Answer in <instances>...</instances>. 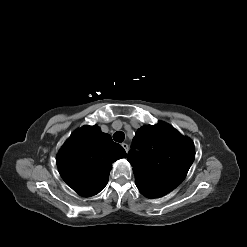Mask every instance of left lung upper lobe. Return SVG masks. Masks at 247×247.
Returning a JSON list of instances; mask_svg holds the SVG:
<instances>
[{
    "instance_id": "1",
    "label": "left lung upper lobe",
    "mask_w": 247,
    "mask_h": 247,
    "mask_svg": "<svg viewBox=\"0 0 247 247\" xmlns=\"http://www.w3.org/2000/svg\"><path fill=\"white\" fill-rule=\"evenodd\" d=\"M194 158L193 142L164 122L138 129L127 156L137 188L150 198L166 195L180 185Z\"/></svg>"
}]
</instances>
